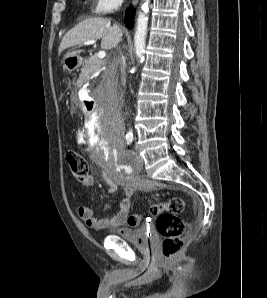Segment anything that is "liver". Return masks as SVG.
I'll use <instances>...</instances> for the list:
<instances>
[{
    "instance_id": "obj_1",
    "label": "liver",
    "mask_w": 267,
    "mask_h": 298,
    "mask_svg": "<svg viewBox=\"0 0 267 298\" xmlns=\"http://www.w3.org/2000/svg\"><path fill=\"white\" fill-rule=\"evenodd\" d=\"M122 35V29L119 25H112L109 19L88 18L78 23L64 35L59 46V53L67 48L83 44L88 40L97 39H102L101 47L109 50L117 46ZM81 52L82 50L69 52L65 54L64 58L77 57Z\"/></svg>"
}]
</instances>
